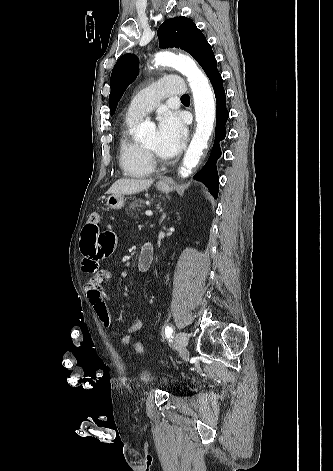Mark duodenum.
Instances as JSON below:
<instances>
[{
  "label": "duodenum",
  "mask_w": 333,
  "mask_h": 471,
  "mask_svg": "<svg viewBox=\"0 0 333 471\" xmlns=\"http://www.w3.org/2000/svg\"><path fill=\"white\" fill-rule=\"evenodd\" d=\"M154 259V249L151 243L147 242L142 246L141 252L138 256L136 267L139 271L148 270Z\"/></svg>",
  "instance_id": "duodenum-1"
}]
</instances>
